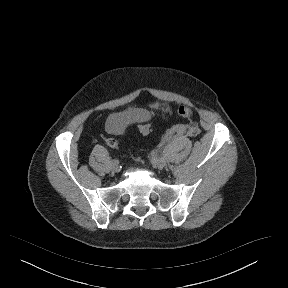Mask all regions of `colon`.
<instances>
[{
  "label": "colon",
  "mask_w": 288,
  "mask_h": 288,
  "mask_svg": "<svg viewBox=\"0 0 288 288\" xmlns=\"http://www.w3.org/2000/svg\"><path fill=\"white\" fill-rule=\"evenodd\" d=\"M177 113L184 118H190L192 115L191 109L184 106L180 107ZM139 131L143 134L149 133L151 131V126L149 124H142L139 126ZM103 143L113 149H117L119 147L118 141L112 137L104 138Z\"/></svg>",
  "instance_id": "colon-1"
}]
</instances>
